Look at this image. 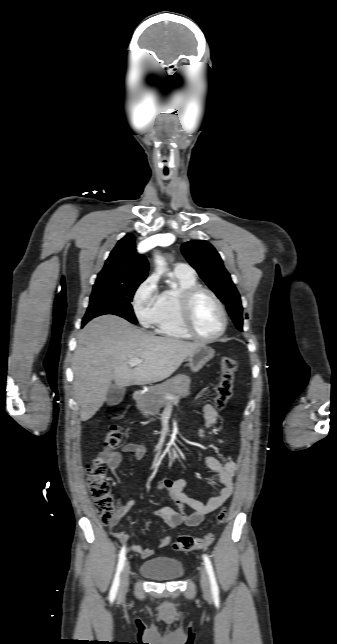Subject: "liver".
I'll return each instance as SVG.
<instances>
[{"label": "liver", "mask_w": 337, "mask_h": 644, "mask_svg": "<svg viewBox=\"0 0 337 644\" xmlns=\"http://www.w3.org/2000/svg\"><path fill=\"white\" fill-rule=\"evenodd\" d=\"M202 345L155 336L114 315L91 320L79 333L72 362L80 419L89 420L102 407L112 381L122 388L162 381ZM133 358L142 362L130 369Z\"/></svg>", "instance_id": "liver-1"}]
</instances>
